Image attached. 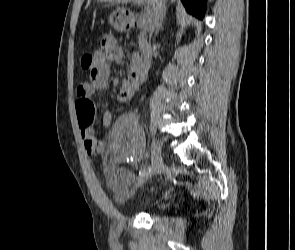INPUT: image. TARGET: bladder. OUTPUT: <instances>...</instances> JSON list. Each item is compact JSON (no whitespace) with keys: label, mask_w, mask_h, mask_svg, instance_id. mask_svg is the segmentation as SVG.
I'll return each instance as SVG.
<instances>
[{"label":"bladder","mask_w":295,"mask_h":250,"mask_svg":"<svg viewBox=\"0 0 295 250\" xmlns=\"http://www.w3.org/2000/svg\"><path fill=\"white\" fill-rule=\"evenodd\" d=\"M153 205L151 200H141L133 205V207L137 210H147L150 209Z\"/></svg>","instance_id":"31cf9c89"}]
</instances>
